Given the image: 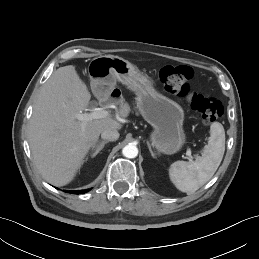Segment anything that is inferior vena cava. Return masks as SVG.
Masks as SVG:
<instances>
[{
	"label": "inferior vena cava",
	"mask_w": 259,
	"mask_h": 259,
	"mask_svg": "<svg viewBox=\"0 0 259 259\" xmlns=\"http://www.w3.org/2000/svg\"><path fill=\"white\" fill-rule=\"evenodd\" d=\"M101 138L107 141H116L119 138V132L116 129H106L101 133Z\"/></svg>",
	"instance_id": "inferior-vena-cava-1"
}]
</instances>
